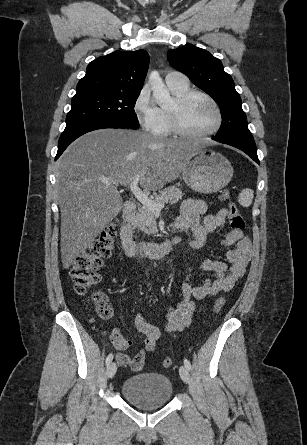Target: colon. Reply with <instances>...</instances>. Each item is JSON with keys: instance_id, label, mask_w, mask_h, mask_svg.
I'll return each instance as SVG.
<instances>
[{"instance_id": "5ec220e1", "label": "colon", "mask_w": 307, "mask_h": 445, "mask_svg": "<svg viewBox=\"0 0 307 445\" xmlns=\"http://www.w3.org/2000/svg\"><path fill=\"white\" fill-rule=\"evenodd\" d=\"M219 199L228 203L229 222L232 229L243 231L246 227L244 218L239 213L236 204L231 200L230 191L222 189L219 192ZM116 226L106 227L95 238V240L74 260L70 267V277L74 284L75 292L84 295L93 285L100 280V269L103 260L112 253L116 239ZM92 299L97 314L103 319H110L113 315L112 306L107 296L102 292H94ZM225 304V298L219 297L214 304L213 312L218 313ZM114 345H122L124 338L117 332L112 334ZM173 361L170 357L163 360L165 368L171 367Z\"/></svg>"}]
</instances>
